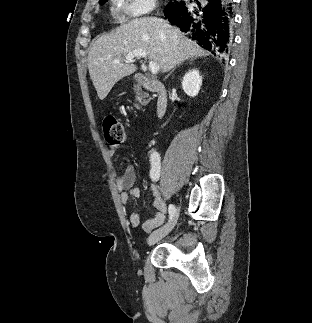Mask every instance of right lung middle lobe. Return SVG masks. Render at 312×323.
Returning a JSON list of instances; mask_svg holds the SVG:
<instances>
[{
  "mask_svg": "<svg viewBox=\"0 0 312 323\" xmlns=\"http://www.w3.org/2000/svg\"><path fill=\"white\" fill-rule=\"evenodd\" d=\"M107 1V0H106ZM173 5V3H169L167 7H171Z\"/></svg>",
  "mask_w": 312,
  "mask_h": 323,
  "instance_id": "1",
  "label": "right lung middle lobe"
}]
</instances>
